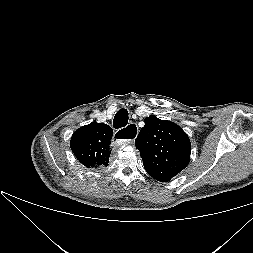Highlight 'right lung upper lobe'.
<instances>
[{
	"mask_svg": "<svg viewBox=\"0 0 253 253\" xmlns=\"http://www.w3.org/2000/svg\"><path fill=\"white\" fill-rule=\"evenodd\" d=\"M112 136L113 129L110 126L92 122L74 132L70 142L71 150L85 167L102 169L109 163Z\"/></svg>",
	"mask_w": 253,
	"mask_h": 253,
	"instance_id": "cb5924a9",
	"label": "right lung upper lobe"
}]
</instances>
